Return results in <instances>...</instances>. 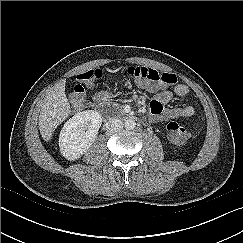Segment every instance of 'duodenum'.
Here are the masks:
<instances>
[{"instance_id":"duodenum-1","label":"duodenum","mask_w":243,"mask_h":243,"mask_svg":"<svg viewBox=\"0 0 243 243\" xmlns=\"http://www.w3.org/2000/svg\"><path fill=\"white\" fill-rule=\"evenodd\" d=\"M105 100H98V103L102 104V103H105L104 102ZM131 118L135 119V116H130Z\"/></svg>"}]
</instances>
